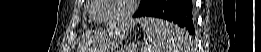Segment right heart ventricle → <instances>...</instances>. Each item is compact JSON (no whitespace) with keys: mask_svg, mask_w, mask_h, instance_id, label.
<instances>
[{"mask_svg":"<svg viewBox=\"0 0 261 52\" xmlns=\"http://www.w3.org/2000/svg\"><path fill=\"white\" fill-rule=\"evenodd\" d=\"M90 17L91 19L94 21L93 17H92V10L90 11ZM95 22V21H94Z\"/></svg>","mask_w":261,"mask_h":52,"instance_id":"1","label":"right heart ventricle"}]
</instances>
